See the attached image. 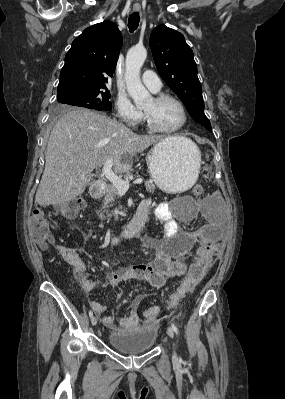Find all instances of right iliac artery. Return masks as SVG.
<instances>
[{"label":"right iliac artery","instance_id":"82829eb1","mask_svg":"<svg viewBox=\"0 0 285 399\" xmlns=\"http://www.w3.org/2000/svg\"><path fill=\"white\" fill-rule=\"evenodd\" d=\"M89 316H90V318L93 317V312L92 311L89 312Z\"/></svg>","mask_w":285,"mask_h":399}]
</instances>
